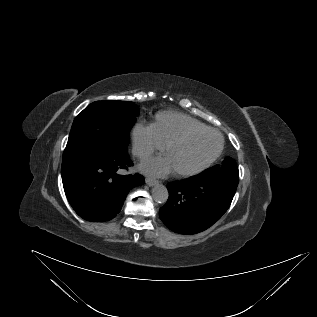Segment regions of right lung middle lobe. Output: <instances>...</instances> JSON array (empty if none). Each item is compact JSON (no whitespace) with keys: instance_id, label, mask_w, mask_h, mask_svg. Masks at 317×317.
I'll list each match as a JSON object with an SVG mask.
<instances>
[{"instance_id":"dd1d6c3e","label":"right lung middle lobe","mask_w":317,"mask_h":317,"mask_svg":"<svg viewBox=\"0 0 317 317\" xmlns=\"http://www.w3.org/2000/svg\"><path fill=\"white\" fill-rule=\"evenodd\" d=\"M139 115L133 102L96 101L75 118L63 153L62 170L100 155L127 152L129 132Z\"/></svg>"}]
</instances>
